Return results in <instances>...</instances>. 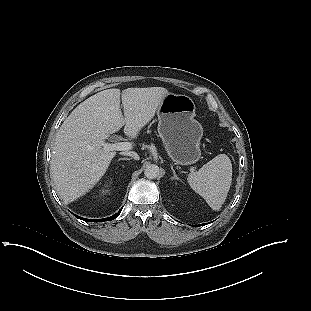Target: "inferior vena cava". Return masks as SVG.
<instances>
[{"label": "inferior vena cava", "instance_id": "obj_1", "mask_svg": "<svg viewBox=\"0 0 311 311\" xmlns=\"http://www.w3.org/2000/svg\"><path fill=\"white\" fill-rule=\"evenodd\" d=\"M123 155H127L132 157L134 160H139L140 157L136 152L130 151V152H123Z\"/></svg>", "mask_w": 311, "mask_h": 311}]
</instances>
